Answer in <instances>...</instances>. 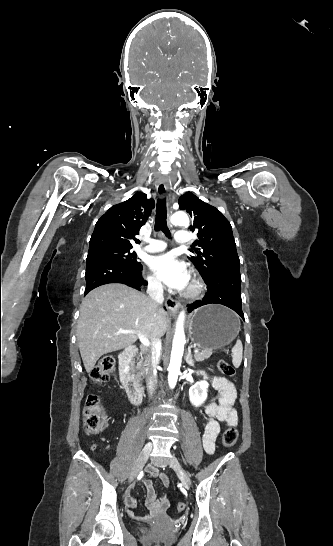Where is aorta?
Here are the masks:
<instances>
[{
    "label": "aorta",
    "mask_w": 333,
    "mask_h": 546,
    "mask_svg": "<svg viewBox=\"0 0 333 546\" xmlns=\"http://www.w3.org/2000/svg\"><path fill=\"white\" fill-rule=\"evenodd\" d=\"M170 221L173 225L183 227H188L190 223L189 217L185 212H176L172 215ZM184 318L185 313L182 311L178 317L170 364L168 367V384L170 388H174L176 386L178 376L180 374L181 361L185 345Z\"/></svg>",
    "instance_id": "1"
}]
</instances>
